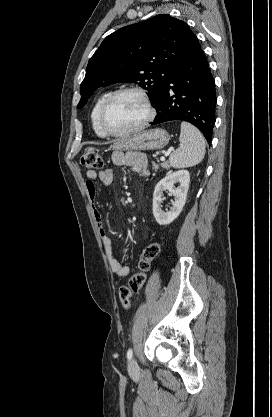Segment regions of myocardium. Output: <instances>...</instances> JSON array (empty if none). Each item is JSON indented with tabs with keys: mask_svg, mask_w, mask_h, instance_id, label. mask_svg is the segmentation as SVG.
I'll use <instances>...</instances> for the list:
<instances>
[{
	"mask_svg": "<svg viewBox=\"0 0 272 417\" xmlns=\"http://www.w3.org/2000/svg\"><path fill=\"white\" fill-rule=\"evenodd\" d=\"M124 94H133V95L138 96L141 99V101L143 102V104L145 106V109H146V117L137 126L131 128L127 131L113 132V131H110L105 125V114H106V111H107L109 105L117 97H119L121 95H124ZM154 117H155V110H154V107H153L148 95L140 88L126 87V88H121V89H118V90L110 93V95L105 99V101L103 102V104L100 108V111H99L98 123H99V127H100L102 133L105 136L121 138V137L130 136L132 134H135V133L143 130L144 128H146L151 123V121L154 119Z\"/></svg>",
	"mask_w": 272,
	"mask_h": 417,
	"instance_id": "obj_1",
	"label": "myocardium"
}]
</instances>
